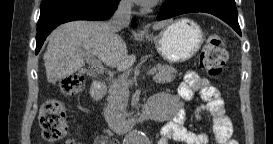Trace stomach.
<instances>
[{
    "mask_svg": "<svg viewBox=\"0 0 273 144\" xmlns=\"http://www.w3.org/2000/svg\"><path fill=\"white\" fill-rule=\"evenodd\" d=\"M158 53L168 62L179 63L192 58L204 41L201 27L191 19L183 18L169 23L155 37Z\"/></svg>",
    "mask_w": 273,
    "mask_h": 144,
    "instance_id": "obj_1",
    "label": "stomach"
}]
</instances>
